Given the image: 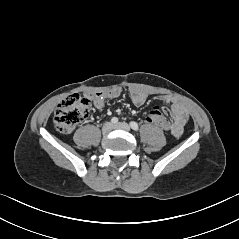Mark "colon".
<instances>
[{"label": "colon", "instance_id": "obj_1", "mask_svg": "<svg viewBox=\"0 0 239 239\" xmlns=\"http://www.w3.org/2000/svg\"><path fill=\"white\" fill-rule=\"evenodd\" d=\"M91 113V102L78 94L65 97L57 106L54 115V125L61 134H70L76 126L85 121ZM165 109L159 104H153L144 115L147 126L156 125L159 129H167L169 120L164 115Z\"/></svg>", "mask_w": 239, "mask_h": 239}]
</instances>
